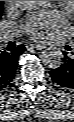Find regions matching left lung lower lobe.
Returning a JSON list of instances; mask_svg holds the SVG:
<instances>
[{
  "instance_id": "1",
  "label": "left lung lower lobe",
  "mask_w": 74,
  "mask_h": 122,
  "mask_svg": "<svg viewBox=\"0 0 74 122\" xmlns=\"http://www.w3.org/2000/svg\"><path fill=\"white\" fill-rule=\"evenodd\" d=\"M66 49L71 53L63 52L64 63L49 73L52 80L60 87L74 89V46L72 49L67 46Z\"/></svg>"
}]
</instances>
